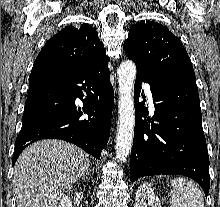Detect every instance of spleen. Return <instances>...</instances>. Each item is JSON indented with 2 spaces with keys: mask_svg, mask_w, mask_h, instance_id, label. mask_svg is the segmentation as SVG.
I'll list each match as a JSON object with an SVG mask.
<instances>
[{
  "mask_svg": "<svg viewBox=\"0 0 220 207\" xmlns=\"http://www.w3.org/2000/svg\"><path fill=\"white\" fill-rule=\"evenodd\" d=\"M171 185L170 207H204L202 192L192 181L174 178Z\"/></svg>",
  "mask_w": 220,
  "mask_h": 207,
  "instance_id": "3e777b00",
  "label": "spleen"
}]
</instances>
